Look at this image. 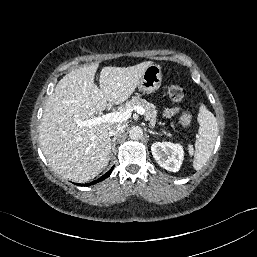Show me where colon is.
Listing matches in <instances>:
<instances>
[{
  "mask_svg": "<svg viewBox=\"0 0 257 257\" xmlns=\"http://www.w3.org/2000/svg\"><path fill=\"white\" fill-rule=\"evenodd\" d=\"M185 92V87L178 82H171L167 87L168 97L175 102L182 100ZM180 122L184 126H189L191 124V117L187 113H184L180 117Z\"/></svg>",
  "mask_w": 257,
  "mask_h": 257,
  "instance_id": "colon-1",
  "label": "colon"
}]
</instances>
